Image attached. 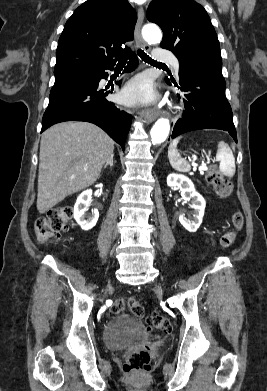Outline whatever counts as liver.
Returning a JSON list of instances; mask_svg holds the SVG:
<instances>
[{
    "mask_svg": "<svg viewBox=\"0 0 267 391\" xmlns=\"http://www.w3.org/2000/svg\"><path fill=\"white\" fill-rule=\"evenodd\" d=\"M113 150V140L88 122H64L46 130L40 142L39 213L92 185L113 157Z\"/></svg>",
    "mask_w": 267,
    "mask_h": 391,
    "instance_id": "1",
    "label": "liver"
}]
</instances>
